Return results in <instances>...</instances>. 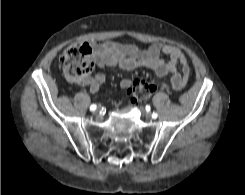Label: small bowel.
Segmentation results:
<instances>
[{
	"label": "small bowel",
	"mask_w": 245,
	"mask_h": 195,
	"mask_svg": "<svg viewBox=\"0 0 245 195\" xmlns=\"http://www.w3.org/2000/svg\"><path fill=\"white\" fill-rule=\"evenodd\" d=\"M95 63L101 67H119L123 70H134L140 67H148L154 70L158 78L170 75L171 87L179 91L183 89L189 79L190 67L185 55L175 46L153 43L147 49H141L134 44H122L118 42H94L87 45ZM105 77L96 74L84 84L91 92L99 90ZM131 81L123 79L122 88L131 87ZM164 88H167L164 85Z\"/></svg>",
	"instance_id": "small-bowel-1"
}]
</instances>
